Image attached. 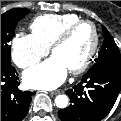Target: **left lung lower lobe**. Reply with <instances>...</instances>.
<instances>
[{
	"label": "left lung lower lobe",
	"instance_id": "left-lung-lower-lobe-1",
	"mask_svg": "<svg viewBox=\"0 0 121 121\" xmlns=\"http://www.w3.org/2000/svg\"><path fill=\"white\" fill-rule=\"evenodd\" d=\"M121 90V67L89 70L66 91L70 105L58 111L62 121H100L112 109Z\"/></svg>",
	"mask_w": 121,
	"mask_h": 121
}]
</instances>
